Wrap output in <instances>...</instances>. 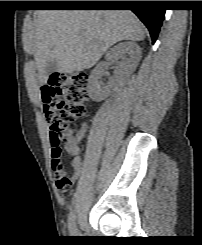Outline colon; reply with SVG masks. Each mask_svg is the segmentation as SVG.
Here are the masks:
<instances>
[{"instance_id": "obj_1", "label": "colon", "mask_w": 202, "mask_h": 245, "mask_svg": "<svg viewBox=\"0 0 202 245\" xmlns=\"http://www.w3.org/2000/svg\"><path fill=\"white\" fill-rule=\"evenodd\" d=\"M88 75L78 73H55L51 84L55 87L57 102L55 110L59 114L46 110L49 122V141L52 148H59L66 130H72L76 120L82 118L86 111L88 98Z\"/></svg>"}]
</instances>
